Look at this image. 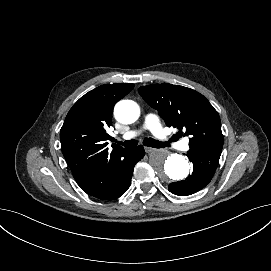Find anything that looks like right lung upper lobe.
Masks as SVG:
<instances>
[{
  "label": "right lung upper lobe",
  "instance_id": "right-lung-upper-lobe-1",
  "mask_svg": "<svg viewBox=\"0 0 271 271\" xmlns=\"http://www.w3.org/2000/svg\"><path fill=\"white\" fill-rule=\"evenodd\" d=\"M134 84L101 85L82 96L70 109L60 130L64 158L74 178L89 171L108 151L107 126H112L116 102L127 95ZM122 149L114 146L112 151Z\"/></svg>",
  "mask_w": 271,
  "mask_h": 271
}]
</instances>
